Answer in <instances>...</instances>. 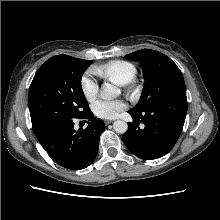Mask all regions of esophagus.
I'll list each match as a JSON object with an SVG mask.
<instances>
[{
	"instance_id": "esophagus-1",
	"label": "esophagus",
	"mask_w": 220,
	"mask_h": 220,
	"mask_svg": "<svg viewBox=\"0 0 220 220\" xmlns=\"http://www.w3.org/2000/svg\"><path fill=\"white\" fill-rule=\"evenodd\" d=\"M113 121L112 120H105L104 121V123L106 124V125H109L110 123H112Z\"/></svg>"
}]
</instances>
